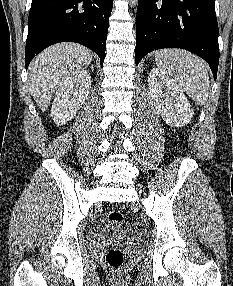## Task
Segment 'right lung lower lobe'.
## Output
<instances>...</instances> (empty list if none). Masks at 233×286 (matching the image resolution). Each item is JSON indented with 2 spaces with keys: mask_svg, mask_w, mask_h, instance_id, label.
<instances>
[{
  "mask_svg": "<svg viewBox=\"0 0 233 286\" xmlns=\"http://www.w3.org/2000/svg\"><path fill=\"white\" fill-rule=\"evenodd\" d=\"M113 0H32L25 65L43 49L58 42H76L105 58Z\"/></svg>",
  "mask_w": 233,
  "mask_h": 286,
  "instance_id": "1",
  "label": "right lung lower lobe"
}]
</instances>
